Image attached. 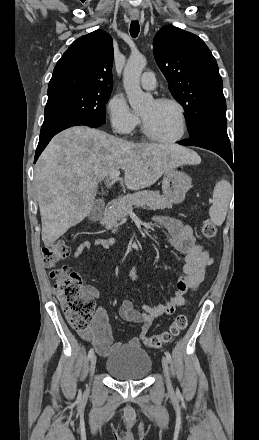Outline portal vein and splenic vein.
<instances>
[{
  "instance_id": "portal-vein-and-splenic-vein-1",
  "label": "portal vein and splenic vein",
  "mask_w": 259,
  "mask_h": 440,
  "mask_svg": "<svg viewBox=\"0 0 259 440\" xmlns=\"http://www.w3.org/2000/svg\"><path fill=\"white\" fill-rule=\"evenodd\" d=\"M120 171H115L109 175L111 181H116L119 178Z\"/></svg>"
}]
</instances>
